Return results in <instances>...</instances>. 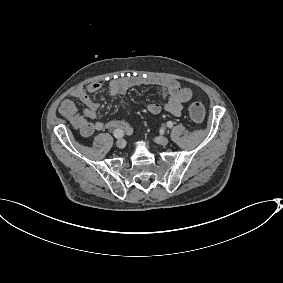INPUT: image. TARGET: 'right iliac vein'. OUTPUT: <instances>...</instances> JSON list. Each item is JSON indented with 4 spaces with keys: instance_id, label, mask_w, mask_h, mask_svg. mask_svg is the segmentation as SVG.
<instances>
[{
    "instance_id": "obj_1",
    "label": "right iliac vein",
    "mask_w": 283,
    "mask_h": 283,
    "mask_svg": "<svg viewBox=\"0 0 283 283\" xmlns=\"http://www.w3.org/2000/svg\"><path fill=\"white\" fill-rule=\"evenodd\" d=\"M125 145H126V142H125V140L124 139H118L117 141H116V146L119 148V149H123L124 147H125Z\"/></svg>"
}]
</instances>
